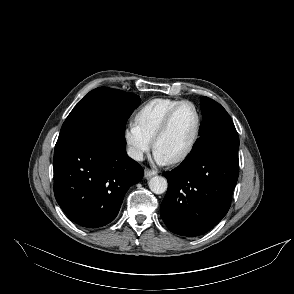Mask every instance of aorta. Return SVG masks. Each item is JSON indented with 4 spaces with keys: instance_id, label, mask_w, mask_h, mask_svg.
Segmentation results:
<instances>
[{
    "instance_id": "1",
    "label": "aorta",
    "mask_w": 294,
    "mask_h": 294,
    "mask_svg": "<svg viewBox=\"0 0 294 294\" xmlns=\"http://www.w3.org/2000/svg\"><path fill=\"white\" fill-rule=\"evenodd\" d=\"M149 188L155 194H162L167 190V180L162 176H154L149 180Z\"/></svg>"
}]
</instances>
